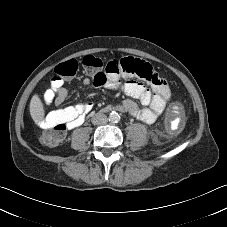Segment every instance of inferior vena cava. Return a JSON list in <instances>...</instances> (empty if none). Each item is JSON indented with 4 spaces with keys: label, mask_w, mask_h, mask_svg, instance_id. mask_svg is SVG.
I'll use <instances>...</instances> for the list:
<instances>
[{
    "label": "inferior vena cava",
    "mask_w": 227,
    "mask_h": 227,
    "mask_svg": "<svg viewBox=\"0 0 227 227\" xmlns=\"http://www.w3.org/2000/svg\"><path fill=\"white\" fill-rule=\"evenodd\" d=\"M107 122V117L105 114L103 113H96L93 117H92V123L94 125H103Z\"/></svg>",
    "instance_id": "inferior-vena-cava-1"
}]
</instances>
